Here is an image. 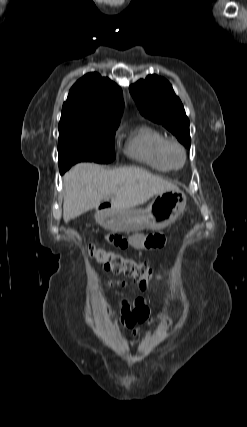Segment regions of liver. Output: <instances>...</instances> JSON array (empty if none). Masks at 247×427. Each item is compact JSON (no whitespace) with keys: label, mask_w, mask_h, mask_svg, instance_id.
<instances>
[{"label":"liver","mask_w":247,"mask_h":427,"mask_svg":"<svg viewBox=\"0 0 247 427\" xmlns=\"http://www.w3.org/2000/svg\"><path fill=\"white\" fill-rule=\"evenodd\" d=\"M64 221L97 208L111 198L112 208L130 210L167 190L174 184L138 167L107 170L95 163H79L64 175Z\"/></svg>","instance_id":"obj_1"}]
</instances>
